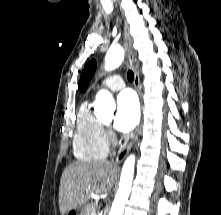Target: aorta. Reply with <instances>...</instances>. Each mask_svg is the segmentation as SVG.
<instances>
[{"instance_id": "762f6f07", "label": "aorta", "mask_w": 221, "mask_h": 215, "mask_svg": "<svg viewBox=\"0 0 221 215\" xmlns=\"http://www.w3.org/2000/svg\"><path fill=\"white\" fill-rule=\"evenodd\" d=\"M124 60V50L120 45L109 48L105 56V69L111 71L121 65ZM115 102L111 93L107 90H100L96 95L94 109L96 113L107 110H114ZM135 156L130 155L125 160L119 182V189L112 204L109 215H122L125 204L131 192V185L134 177Z\"/></svg>"}]
</instances>
